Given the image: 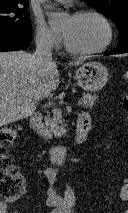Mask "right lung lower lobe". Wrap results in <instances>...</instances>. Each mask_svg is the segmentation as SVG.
Masks as SVG:
<instances>
[{
  "label": "right lung lower lobe",
  "mask_w": 128,
  "mask_h": 213,
  "mask_svg": "<svg viewBox=\"0 0 128 213\" xmlns=\"http://www.w3.org/2000/svg\"><path fill=\"white\" fill-rule=\"evenodd\" d=\"M30 36L0 35V52L25 49L31 41Z\"/></svg>",
  "instance_id": "1"
}]
</instances>
